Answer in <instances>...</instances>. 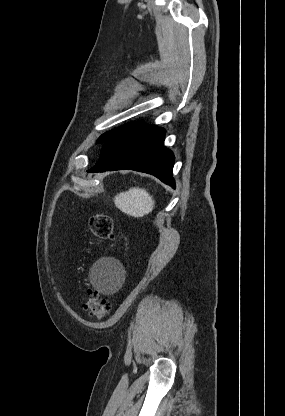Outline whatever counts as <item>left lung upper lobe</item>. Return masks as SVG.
Here are the masks:
<instances>
[{
  "label": "left lung upper lobe",
  "mask_w": 285,
  "mask_h": 416,
  "mask_svg": "<svg viewBox=\"0 0 285 416\" xmlns=\"http://www.w3.org/2000/svg\"><path fill=\"white\" fill-rule=\"evenodd\" d=\"M120 129V128H119ZM118 129H114V130H111V131H109V132H106V133H104L103 135H101L99 138H98V140H97V142L98 143H104L111 135H113L116 131H117Z\"/></svg>",
  "instance_id": "1"
}]
</instances>
